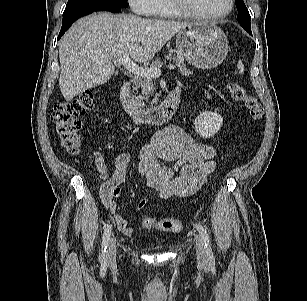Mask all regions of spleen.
<instances>
[{"instance_id":"spleen-1","label":"spleen","mask_w":307,"mask_h":301,"mask_svg":"<svg viewBox=\"0 0 307 301\" xmlns=\"http://www.w3.org/2000/svg\"><path fill=\"white\" fill-rule=\"evenodd\" d=\"M237 67L240 70V73L243 74L244 73V65H243L241 60H239Z\"/></svg>"}]
</instances>
